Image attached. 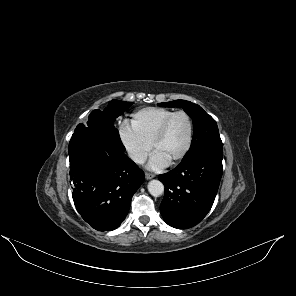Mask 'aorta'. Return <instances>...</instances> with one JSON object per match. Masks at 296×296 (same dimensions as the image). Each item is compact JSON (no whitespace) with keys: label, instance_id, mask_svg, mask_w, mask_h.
Returning <instances> with one entry per match:
<instances>
[{"label":"aorta","instance_id":"1","mask_svg":"<svg viewBox=\"0 0 296 296\" xmlns=\"http://www.w3.org/2000/svg\"><path fill=\"white\" fill-rule=\"evenodd\" d=\"M148 191L154 197H159L164 193V185L159 180H151L148 183Z\"/></svg>","mask_w":296,"mask_h":296}]
</instances>
